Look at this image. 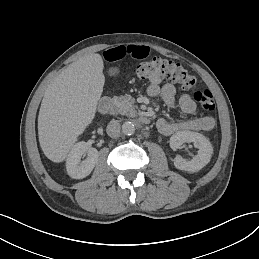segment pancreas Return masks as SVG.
<instances>
[{"instance_id": "pancreas-1", "label": "pancreas", "mask_w": 259, "mask_h": 259, "mask_svg": "<svg viewBox=\"0 0 259 259\" xmlns=\"http://www.w3.org/2000/svg\"><path fill=\"white\" fill-rule=\"evenodd\" d=\"M115 102L118 106V112L121 115H127L129 117H138L139 113L134 109L132 104H134L135 100L131 96H118L115 97Z\"/></svg>"}]
</instances>
